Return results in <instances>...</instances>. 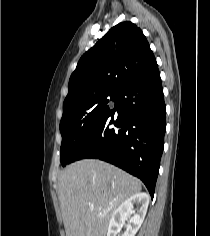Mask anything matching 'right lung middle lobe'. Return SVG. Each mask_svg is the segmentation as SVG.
<instances>
[{"label": "right lung middle lobe", "mask_w": 210, "mask_h": 236, "mask_svg": "<svg viewBox=\"0 0 210 236\" xmlns=\"http://www.w3.org/2000/svg\"><path fill=\"white\" fill-rule=\"evenodd\" d=\"M109 97V98H108ZM116 93H104L88 98L63 113L60 122L62 144L60 161L68 164L81 144L110 111L109 102L115 101Z\"/></svg>", "instance_id": "dd1d6c3e"}]
</instances>
